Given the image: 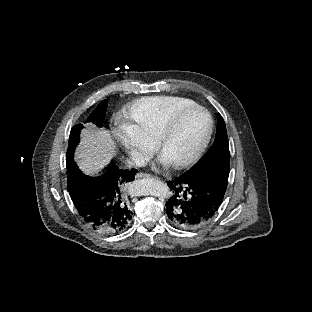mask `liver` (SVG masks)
<instances>
[{
	"mask_svg": "<svg viewBox=\"0 0 312 312\" xmlns=\"http://www.w3.org/2000/svg\"><path fill=\"white\" fill-rule=\"evenodd\" d=\"M115 148L110 131L87 125L81 132L74 160L85 175L95 176L111 162L116 154Z\"/></svg>",
	"mask_w": 312,
	"mask_h": 312,
	"instance_id": "1",
	"label": "liver"
}]
</instances>
